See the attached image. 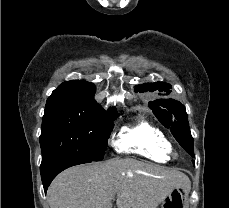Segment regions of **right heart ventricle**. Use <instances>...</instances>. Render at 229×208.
<instances>
[{
  "instance_id": "right-heart-ventricle-1",
  "label": "right heart ventricle",
  "mask_w": 229,
  "mask_h": 208,
  "mask_svg": "<svg viewBox=\"0 0 229 208\" xmlns=\"http://www.w3.org/2000/svg\"><path fill=\"white\" fill-rule=\"evenodd\" d=\"M170 145L167 135L145 118L125 126L115 142L117 151L159 164H166L172 159Z\"/></svg>"
}]
</instances>
